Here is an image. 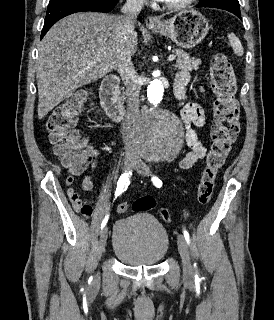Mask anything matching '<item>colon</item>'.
<instances>
[{
	"instance_id": "obj_1",
	"label": "colon",
	"mask_w": 274,
	"mask_h": 320,
	"mask_svg": "<svg viewBox=\"0 0 274 320\" xmlns=\"http://www.w3.org/2000/svg\"><path fill=\"white\" fill-rule=\"evenodd\" d=\"M210 79L215 93V112L211 128V148L197 190V201L200 205H206L210 202L216 174L239 132L240 106L236 98V73L226 54L217 53L214 55ZM82 105L80 95H71L65 102L52 110L47 122L49 139L54 153L73 175L85 170L92 155L89 142L81 137L75 127ZM72 183L73 176L70 175L66 179L68 196H80L71 186ZM154 205L156 206L154 198L143 197L132 203H119L116 206V211L119 214H125L129 210L145 212L152 210ZM157 212L165 221H170L168 210L158 208Z\"/></svg>"
}]
</instances>
